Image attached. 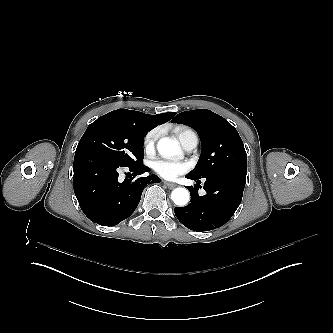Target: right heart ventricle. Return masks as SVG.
Segmentation results:
<instances>
[{
  "instance_id": "obj_1",
  "label": "right heart ventricle",
  "mask_w": 333,
  "mask_h": 333,
  "mask_svg": "<svg viewBox=\"0 0 333 333\" xmlns=\"http://www.w3.org/2000/svg\"><path fill=\"white\" fill-rule=\"evenodd\" d=\"M188 129H184V130H178L176 131V136L180 139V137L182 136V134L187 131ZM181 141V140H180Z\"/></svg>"
}]
</instances>
